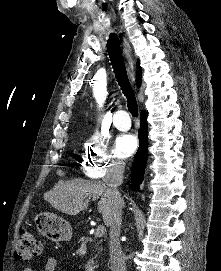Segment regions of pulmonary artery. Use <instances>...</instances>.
Segmentation results:
<instances>
[{
	"instance_id": "1",
	"label": "pulmonary artery",
	"mask_w": 221,
	"mask_h": 271,
	"mask_svg": "<svg viewBox=\"0 0 221 271\" xmlns=\"http://www.w3.org/2000/svg\"><path fill=\"white\" fill-rule=\"evenodd\" d=\"M111 116L114 117L113 125L119 130L126 131L129 129L131 117H128V112H112Z\"/></svg>"
}]
</instances>
